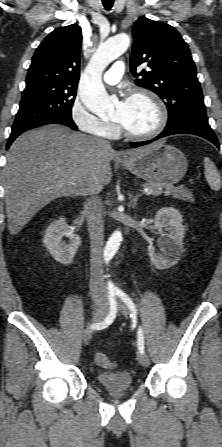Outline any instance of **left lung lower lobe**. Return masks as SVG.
Here are the masks:
<instances>
[{
    "mask_svg": "<svg viewBox=\"0 0 222 447\" xmlns=\"http://www.w3.org/2000/svg\"><path fill=\"white\" fill-rule=\"evenodd\" d=\"M173 134H194L200 137H203L210 142H212L214 145H216L218 148L219 142L214 134L213 130L210 128V126H204L196 121L190 120V119H179L171 124H167L166 128L163 132H161L160 135H158L156 138L144 141V142H132V147H139L146 144H149L157 139L163 138L165 136L173 135Z\"/></svg>",
    "mask_w": 222,
    "mask_h": 447,
    "instance_id": "obj_1",
    "label": "left lung lower lobe"
}]
</instances>
